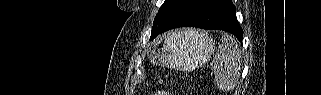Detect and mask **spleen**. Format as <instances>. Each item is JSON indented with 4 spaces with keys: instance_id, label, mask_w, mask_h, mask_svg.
I'll return each mask as SVG.
<instances>
[{
    "instance_id": "3e777b00",
    "label": "spleen",
    "mask_w": 321,
    "mask_h": 95,
    "mask_svg": "<svg viewBox=\"0 0 321 95\" xmlns=\"http://www.w3.org/2000/svg\"><path fill=\"white\" fill-rule=\"evenodd\" d=\"M241 64L242 56L237 41L224 33L211 63L215 86L225 91L233 89L238 81Z\"/></svg>"
}]
</instances>
